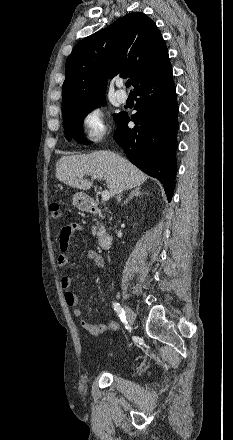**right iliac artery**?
Returning <instances> with one entry per match:
<instances>
[{
    "label": "right iliac artery",
    "instance_id": "right-iliac-artery-1",
    "mask_svg": "<svg viewBox=\"0 0 233 440\" xmlns=\"http://www.w3.org/2000/svg\"><path fill=\"white\" fill-rule=\"evenodd\" d=\"M113 308L117 312V314L120 317L121 321L123 323L126 322L125 312H124V309L120 306V304L117 303V302H113Z\"/></svg>",
    "mask_w": 233,
    "mask_h": 440
}]
</instances>
